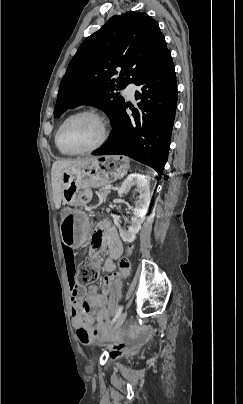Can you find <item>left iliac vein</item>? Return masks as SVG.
I'll list each match as a JSON object with an SVG mask.
<instances>
[{
    "label": "left iliac vein",
    "instance_id": "4c4485c4",
    "mask_svg": "<svg viewBox=\"0 0 243 404\" xmlns=\"http://www.w3.org/2000/svg\"><path fill=\"white\" fill-rule=\"evenodd\" d=\"M127 317V311L123 312L117 319L116 323L114 324V326L111 329V332H115L117 331L122 324L124 323V321L126 320Z\"/></svg>",
    "mask_w": 243,
    "mask_h": 404
}]
</instances>
